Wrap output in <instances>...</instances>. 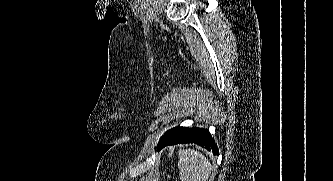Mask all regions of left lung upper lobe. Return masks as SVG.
Instances as JSON below:
<instances>
[{
    "label": "left lung upper lobe",
    "instance_id": "1",
    "mask_svg": "<svg viewBox=\"0 0 333 181\" xmlns=\"http://www.w3.org/2000/svg\"><path fill=\"white\" fill-rule=\"evenodd\" d=\"M187 128L186 127H176L173 128L169 131H167L162 137L161 140L162 142H169L176 138L178 135H180L182 132H184Z\"/></svg>",
    "mask_w": 333,
    "mask_h": 181
}]
</instances>
